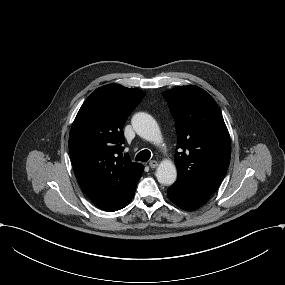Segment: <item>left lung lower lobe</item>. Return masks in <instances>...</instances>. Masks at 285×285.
Wrapping results in <instances>:
<instances>
[{
	"instance_id": "left-lung-lower-lobe-1",
	"label": "left lung lower lobe",
	"mask_w": 285,
	"mask_h": 285,
	"mask_svg": "<svg viewBox=\"0 0 285 285\" xmlns=\"http://www.w3.org/2000/svg\"><path fill=\"white\" fill-rule=\"evenodd\" d=\"M167 196L175 205L188 211L203 206L209 198L198 194L177 182L168 189Z\"/></svg>"
}]
</instances>
